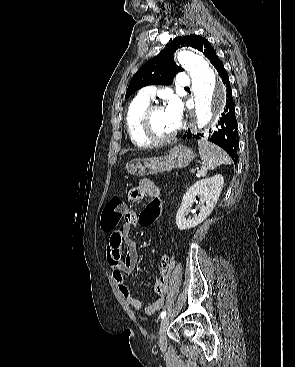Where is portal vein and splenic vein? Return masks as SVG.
<instances>
[{
    "mask_svg": "<svg viewBox=\"0 0 295 367\" xmlns=\"http://www.w3.org/2000/svg\"><path fill=\"white\" fill-rule=\"evenodd\" d=\"M191 172L194 174L196 172V170L195 169H191Z\"/></svg>",
    "mask_w": 295,
    "mask_h": 367,
    "instance_id": "1",
    "label": "portal vein and splenic vein"
}]
</instances>
